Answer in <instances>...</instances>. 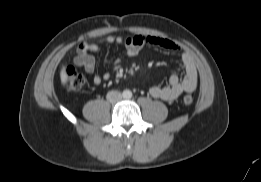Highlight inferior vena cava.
Listing matches in <instances>:
<instances>
[{"instance_id": "inferior-vena-cava-1", "label": "inferior vena cava", "mask_w": 261, "mask_h": 182, "mask_svg": "<svg viewBox=\"0 0 261 182\" xmlns=\"http://www.w3.org/2000/svg\"><path fill=\"white\" fill-rule=\"evenodd\" d=\"M106 98L110 103H116L122 99V94L118 91H110L107 93Z\"/></svg>"}]
</instances>
